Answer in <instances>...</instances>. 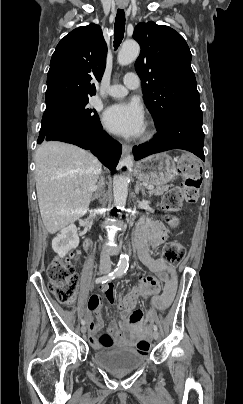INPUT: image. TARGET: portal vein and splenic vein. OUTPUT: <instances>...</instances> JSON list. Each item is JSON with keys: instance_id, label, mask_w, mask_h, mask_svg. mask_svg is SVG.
Listing matches in <instances>:
<instances>
[{"instance_id": "18ae733b", "label": "portal vein and splenic vein", "mask_w": 243, "mask_h": 404, "mask_svg": "<svg viewBox=\"0 0 243 404\" xmlns=\"http://www.w3.org/2000/svg\"><path fill=\"white\" fill-rule=\"evenodd\" d=\"M148 190H153L154 186H147ZM77 194H80V192H77Z\"/></svg>"}]
</instances>
